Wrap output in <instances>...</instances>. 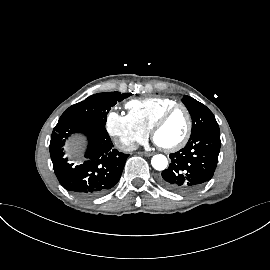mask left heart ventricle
Listing matches in <instances>:
<instances>
[{
    "instance_id": "obj_1",
    "label": "left heart ventricle",
    "mask_w": 270,
    "mask_h": 270,
    "mask_svg": "<svg viewBox=\"0 0 270 270\" xmlns=\"http://www.w3.org/2000/svg\"><path fill=\"white\" fill-rule=\"evenodd\" d=\"M187 128V117L182 109L176 110L165 124L157 131L155 142L162 147H169L178 143Z\"/></svg>"
}]
</instances>
